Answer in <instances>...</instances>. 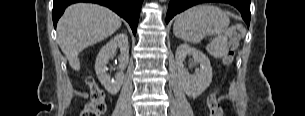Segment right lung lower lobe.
Returning <instances> with one entry per match:
<instances>
[{"instance_id": "98d812e1", "label": "right lung lower lobe", "mask_w": 305, "mask_h": 116, "mask_svg": "<svg viewBox=\"0 0 305 116\" xmlns=\"http://www.w3.org/2000/svg\"><path fill=\"white\" fill-rule=\"evenodd\" d=\"M77 2L97 3L112 9L114 12L124 18L130 24L133 33H136L143 0H54L52 18L55 28L57 21L63 14L65 8L68 5Z\"/></svg>"}]
</instances>
